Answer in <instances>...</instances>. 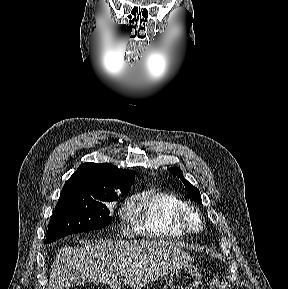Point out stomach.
<instances>
[{
  "label": "stomach",
  "mask_w": 288,
  "mask_h": 289,
  "mask_svg": "<svg viewBox=\"0 0 288 289\" xmlns=\"http://www.w3.org/2000/svg\"><path fill=\"white\" fill-rule=\"evenodd\" d=\"M202 279L201 272L193 265H184L171 272L170 289H197Z\"/></svg>",
  "instance_id": "stomach-1"
}]
</instances>
